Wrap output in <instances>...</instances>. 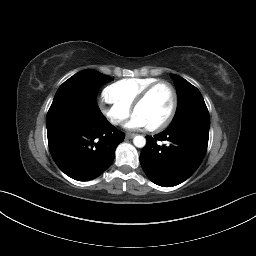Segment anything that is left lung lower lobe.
<instances>
[{
    "mask_svg": "<svg viewBox=\"0 0 256 256\" xmlns=\"http://www.w3.org/2000/svg\"><path fill=\"white\" fill-rule=\"evenodd\" d=\"M146 138L140 154L145 174L157 185L172 187L188 179L201 164L208 146L209 127L188 122ZM157 140H167L170 145L160 146Z\"/></svg>",
    "mask_w": 256,
    "mask_h": 256,
    "instance_id": "0a47b994",
    "label": "left lung lower lobe"
}]
</instances>
